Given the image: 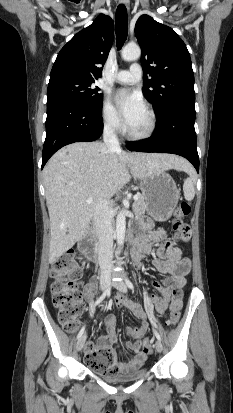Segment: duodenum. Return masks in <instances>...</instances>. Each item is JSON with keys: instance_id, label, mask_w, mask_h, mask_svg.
Instances as JSON below:
<instances>
[{"instance_id": "410a0bca", "label": "duodenum", "mask_w": 233, "mask_h": 413, "mask_svg": "<svg viewBox=\"0 0 233 413\" xmlns=\"http://www.w3.org/2000/svg\"><path fill=\"white\" fill-rule=\"evenodd\" d=\"M130 243L133 246L132 251V265L134 267L140 266V254H139V241L140 237L137 233H132L129 238ZM79 249L88 257L93 260H97L98 252L92 229H86L81 235L79 242Z\"/></svg>"}]
</instances>
